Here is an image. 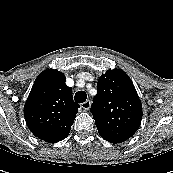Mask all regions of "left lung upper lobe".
<instances>
[{
    "label": "left lung upper lobe",
    "mask_w": 173,
    "mask_h": 173,
    "mask_svg": "<svg viewBox=\"0 0 173 173\" xmlns=\"http://www.w3.org/2000/svg\"><path fill=\"white\" fill-rule=\"evenodd\" d=\"M100 136L121 143L138 130L142 105L130 77L122 70H108L97 83V95L91 107Z\"/></svg>",
    "instance_id": "5c2ea615"
}]
</instances>
